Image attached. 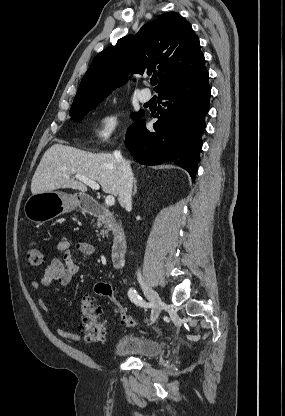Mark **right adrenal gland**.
<instances>
[{"instance_id": "right-adrenal-gland-1", "label": "right adrenal gland", "mask_w": 285, "mask_h": 416, "mask_svg": "<svg viewBox=\"0 0 285 416\" xmlns=\"http://www.w3.org/2000/svg\"><path fill=\"white\" fill-rule=\"evenodd\" d=\"M133 182H134V192H133V196H135V194L137 192V180H136V178H134Z\"/></svg>"}]
</instances>
